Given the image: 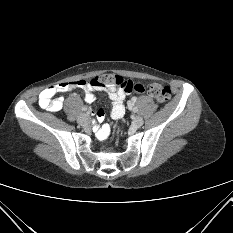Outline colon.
Returning a JSON list of instances; mask_svg holds the SVG:
<instances>
[{
  "instance_id": "5ec220e1",
  "label": "colon",
  "mask_w": 233,
  "mask_h": 233,
  "mask_svg": "<svg viewBox=\"0 0 233 233\" xmlns=\"http://www.w3.org/2000/svg\"><path fill=\"white\" fill-rule=\"evenodd\" d=\"M98 77H103L102 83L108 88H119L125 91L126 93H148L160 104L166 103L171 97V90L168 86H163L157 83H134L131 80H127L119 75L112 73L102 74L92 79H98Z\"/></svg>"
}]
</instances>
